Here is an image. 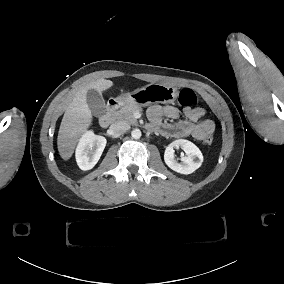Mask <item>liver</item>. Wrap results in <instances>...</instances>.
Returning <instances> with one entry per match:
<instances>
[{"instance_id":"obj_1","label":"liver","mask_w":284,"mask_h":284,"mask_svg":"<svg viewBox=\"0 0 284 284\" xmlns=\"http://www.w3.org/2000/svg\"><path fill=\"white\" fill-rule=\"evenodd\" d=\"M114 82L100 78L82 85L72 97L61 120L57 136V149L63 161L68 162L74 155L79 140L93 124V114L89 108L87 96L90 90L102 95L110 90ZM138 90V89H136Z\"/></svg>"}]
</instances>
